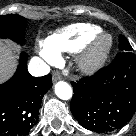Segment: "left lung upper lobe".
Masks as SVG:
<instances>
[{
  "mask_svg": "<svg viewBox=\"0 0 136 136\" xmlns=\"http://www.w3.org/2000/svg\"><path fill=\"white\" fill-rule=\"evenodd\" d=\"M119 49L121 52H130L132 51V47L127 41V39L123 36L120 35L119 37Z\"/></svg>",
  "mask_w": 136,
  "mask_h": 136,
  "instance_id": "1",
  "label": "left lung upper lobe"
}]
</instances>
